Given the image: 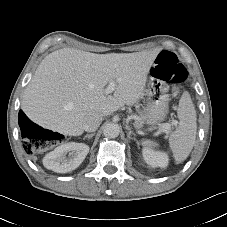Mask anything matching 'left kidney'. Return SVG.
Segmentation results:
<instances>
[{
    "label": "left kidney",
    "mask_w": 227,
    "mask_h": 227,
    "mask_svg": "<svg viewBox=\"0 0 227 227\" xmlns=\"http://www.w3.org/2000/svg\"><path fill=\"white\" fill-rule=\"evenodd\" d=\"M144 161L151 167L165 168L168 165V155L165 152L153 151L149 148H144L142 151Z\"/></svg>",
    "instance_id": "obj_1"
}]
</instances>
